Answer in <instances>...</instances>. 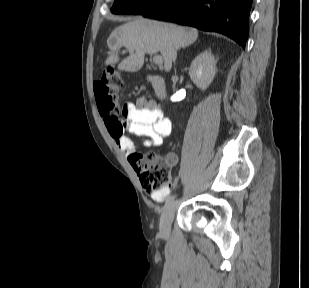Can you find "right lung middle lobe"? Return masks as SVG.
I'll return each mask as SVG.
<instances>
[{"mask_svg":"<svg viewBox=\"0 0 309 288\" xmlns=\"http://www.w3.org/2000/svg\"><path fill=\"white\" fill-rule=\"evenodd\" d=\"M165 0H115L111 12L114 14H143Z\"/></svg>","mask_w":309,"mask_h":288,"instance_id":"1","label":"right lung middle lobe"}]
</instances>
